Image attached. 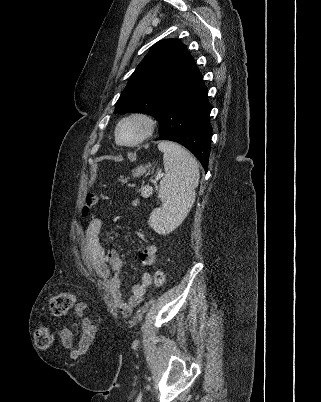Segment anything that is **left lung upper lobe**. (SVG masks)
<instances>
[{
	"mask_svg": "<svg viewBox=\"0 0 321 402\" xmlns=\"http://www.w3.org/2000/svg\"><path fill=\"white\" fill-rule=\"evenodd\" d=\"M195 68L193 58L179 40L157 42L131 75L114 113L143 112L158 120L168 94Z\"/></svg>",
	"mask_w": 321,
	"mask_h": 402,
	"instance_id": "left-lung-upper-lobe-1",
	"label": "left lung upper lobe"
}]
</instances>
